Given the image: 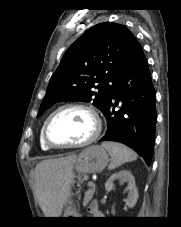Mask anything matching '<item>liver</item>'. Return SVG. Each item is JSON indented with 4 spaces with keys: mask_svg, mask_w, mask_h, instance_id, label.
Returning <instances> with one entry per match:
<instances>
[{
    "mask_svg": "<svg viewBox=\"0 0 181 227\" xmlns=\"http://www.w3.org/2000/svg\"><path fill=\"white\" fill-rule=\"evenodd\" d=\"M77 156L43 160L35 168V187L40 207L47 217H59L71 194Z\"/></svg>",
    "mask_w": 181,
    "mask_h": 227,
    "instance_id": "obj_1",
    "label": "liver"
}]
</instances>
